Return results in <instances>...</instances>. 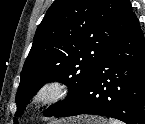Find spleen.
<instances>
[{
    "label": "spleen",
    "mask_w": 145,
    "mask_h": 124,
    "mask_svg": "<svg viewBox=\"0 0 145 124\" xmlns=\"http://www.w3.org/2000/svg\"><path fill=\"white\" fill-rule=\"evenodd\" d=\"M109 124H123V123L114 119H110Z\"/></svg>",
    "instance_id": "spleen-1"
}]
</instances>
